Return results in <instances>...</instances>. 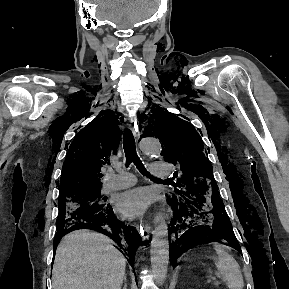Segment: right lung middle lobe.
<instances>
[{"label": "right lung middle lobe", "mask_w": 289, "mask_h": 289, "mask_svg": "<svg viewBox=\"0 0 289 289\" xmlns=\"http://www.w3.org/2000/svg\"><path fill=\"white\" fill-rule=\"evenodd\" d=\"M100 189L84 190L59 197L57 231H63L70 223L81 216L97 214L105 210L109 204L100 195Z\"/></svg>", "instance_id": "1"}]
</instances>
